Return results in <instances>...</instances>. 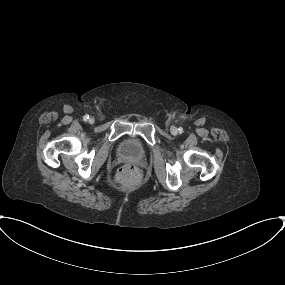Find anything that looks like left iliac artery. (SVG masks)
<instances>
[{
    "mask_svg": "<svg viewBox=\"0 0 285 285\" xmlns=\"http://www.w3.org/2000/svg\"><path fill=\"white\" fill-rule=\"evenodd\" d=\"M178 130H179V131H182V128H179Z\"/></svg>",
    "mask_w": 285,
    "mask_h": 285,
    "instance_id": "left-iliac-artery-1",
    "label": "left iliac artery"
}]
</instances>
